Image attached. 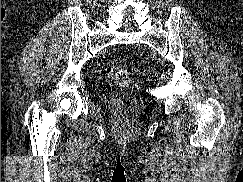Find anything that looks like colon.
Instances as JSON below:
<instances>
[{
    "instance_id": "obj_1",
    "label": "colon",
    "mask_w": 243,
    "mask_h": 182,
    "mask_svg": "<svg viewBox=\"0 0 243 182\" xmlns=\"http://www.w3.org/2000/svg\"><path fill=\"white\" fill-rule=\"evenodd\" d=\"M107 74L112 79L123 80L130 76L131 71L122 65H111L107 68Z\"/></svg>"
}]
</instances>
